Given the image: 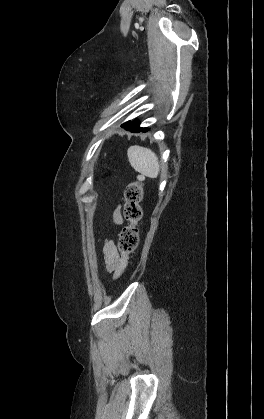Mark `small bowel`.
<instances>
[{"label": "small bowel", "instance_id": "1", "mask_svg": "<svg viewBox=\"0 0 264 419\" xmlns=\"http://www.w3.org/2000/svg\"><path fill=\"white\" fill-rule=\"evenodd\" d=\"M113 219L116 224H121L123 222L119 209L115 211ZM103 254L106 270L108 272L116 271L121 261V255L112 240L105 241L103 246Z\"/></svg>", "mask_w": 264, "mask_h": 419}]
</instances>
